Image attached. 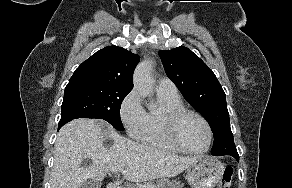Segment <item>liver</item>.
<instances>
[{
    "instance_id": "obj_1",
    "label": "liver",
    "mask_w": 292,
    "mask_h": 188,
    "mask_svg": "<svg viewBox=\"0 0 292 188\" xmlns=\"http://www.w3.org/2000/svg\"><path fill=\"white\" fill-rule=\"evenodd\" d=\"M113 140L105 147V138ZM89 158L88 167L81 166ZM197 157H181L168 151L141 145L118 134L108 123L93 119H75L64 125L54 146L51 188H82L88 179L102 181L113 167L131 182L174 177Z\"/></svg>"
}]
</instances>
